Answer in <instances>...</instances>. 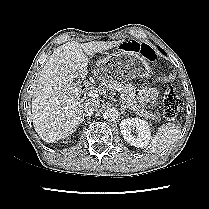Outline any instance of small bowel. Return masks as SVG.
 Instances as JSON below:
<instances>
[{
	"instance_id": "small-bowel-1",
	"label": "small bowel",
	"mask_w": 209,
	"mask_h": 209,
	"mask_svg": "<svg viewBox=\"0 0 209 209\" xmlns=\"http://www.w3.org/2000/svg\"><path fill=\"white\" fill-rule=\"evenodd\" d=\"M133 85L137 89H142L146 85V80L142 76H137L133 80ZM158 96V92L154 88H145L139 94V100L143 104H154Z\"/></svg>"
}]
</instances>
